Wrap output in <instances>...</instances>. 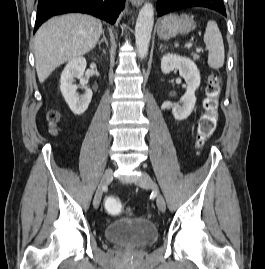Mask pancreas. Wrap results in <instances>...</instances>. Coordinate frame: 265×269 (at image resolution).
<instances>
[{
    "label": "pancreas",
    "instance_id": "1",
    "mask_svg": "<svg viewBox=\"0 0 265 269\" xmlns=\"http://www.w3.org/2000/svg\"><path fill=\"white\" fill-rule=\"evenodd\" d=\"M191 56H192L193 60H195V61H197L200 58V56L196 53L191 54Z\"/></svg>",
    "mask_w": 265,
    "mask_h": 269
}]
</instances>
